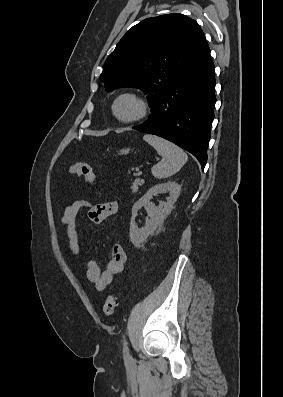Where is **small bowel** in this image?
I'll return each instance as SVG.
<instances>
[{
    "label": "small bowel",
    "instance_id": "obj_1",
    "mask_svg": "<svg viewBox=\"0 0 283 397\" xmlns=\"http://www.w3.org/2000/svg\"><path fill=\"white\" fill-rule=\"evenodd\" d=\"M82 210L87 211L91 222L100 224L107 218L117 214L118 204L116 202L94 204L90 200L82 198L71 202L65 208L60 223L66 228L69 249L75 256H78L81 251L76 218ZM126 259L127 256L124 248L120 244H114L111 258L104 269H101L95 260H88L86 262L88 280L94 284L97 290H104L111 284L114 276L123 271Z\"/></svg>",
    "mask_w": 283,
    "mask_h": 397
}]
</instances>
